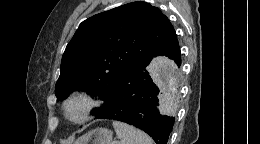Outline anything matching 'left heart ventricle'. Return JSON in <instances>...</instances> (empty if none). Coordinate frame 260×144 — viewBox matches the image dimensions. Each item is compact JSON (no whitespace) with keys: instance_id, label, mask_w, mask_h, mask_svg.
Returning a JSON list of instances; mask_svg holds the SVG:
<instances>
[{"instance_id":"b2bd125f","label":"left heart ventricle","mask_w":260,"mask_h":144,"mask_svg":"<svg viewBox=\"0 0 260 144\" xmlns=\"http://www.w3.org/2000/svg\"><path fill=\"white\" fill-rule=\"evenodd\" d=\"M83 104L79 101H75L69 106V114L72 118H78L81 115Z\"/></svg>"}]
</instances>
